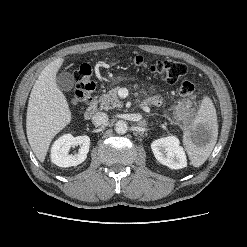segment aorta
<instances>
[{
  "label": "aorta",
  "instance_id": "aorta-1",
  "mask_svg": "<svg viewBox=\"0 0 247 247\" xmlns=\"http://www.w3.org/2000/svg\"><path fill=\"white\" fill-rule=\"evenodd\" d=\"M115 131L118 134H125L128 131V125L125 121L119 120L115 124Z\"/></svg>",
  "mask_w": 247,
  "mask_h": 247
}]
</instances>
